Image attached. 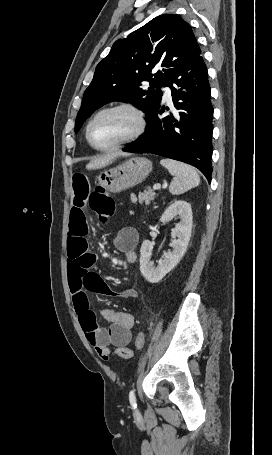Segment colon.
Here are the masks:
<instances>
[{
	"label": "colon",
	"instance_id": "obj_1",
	"mask_svg": "<svg viewBox=\"0 0 272 455\" xmlns=\"http://www.w3.org/2000/svg\"><path fill=\"white\" fill-rule=\"evenodd\" d=\"M89 206L90 209L97 216L100 224L106 225L110 218L113 216L115 211L114 200L106 195L101 188L97 187L89 197ZM145 342V335L143 332H140L135 339L136 349H142ZM125 355H128V352H123Z\"/></svg>",
	"mask_w": 272,
	"mask_h": 455
}]
</instances>
